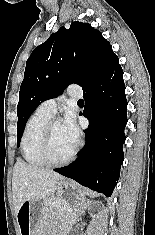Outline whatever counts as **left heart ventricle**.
I'll return each instance as SVG.
<instances>
[{
  "label": "left heart ventricle",
  "instance_id": "b2bd125f",
  "mask_svg": "<svg viewBox=\"0 0 155 235\" xmlns=\"http://www.w3.org/2000/svg\"><path fill=\"white\" fill-rule=\"evenodd\" d=\"M75 145L68 138L61 123H56L51 132L50 153L55 160L66 158Z\"/></svg>",
  "mask_w": 155,
  "mask_h": 235
}]
</instances>
